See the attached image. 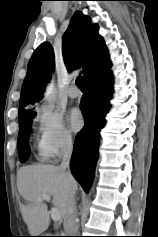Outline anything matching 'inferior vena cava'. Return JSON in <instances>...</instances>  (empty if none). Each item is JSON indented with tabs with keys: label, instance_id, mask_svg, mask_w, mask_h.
I'll use <instances>...</instances> for the list:
<instances>
[{
	"label": "inferior vena cava",
	"instance_id": "602c4592",
	"mask_svg": "<svg viewBox=\"0 0 158 237\" xmlns=\"http://www.w3.org/2000/svg\"><path fill=\"white\" fill-rule=\"evenodd\" d=\"M61 151H62V162L60 164V169L65 171L68 177L72 178V174L70 171V160L73 151V144L70 136H66L63 139ZM76 219H77L76 202L74 199V194H72L68 202L67 211L64 218V229L68 236H76L78 233V226Z\"/></svg>",
	"mask_w": 158,
	"mask_h": 237
}]
</instances>
